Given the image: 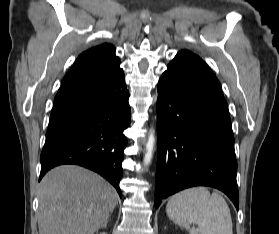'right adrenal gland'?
Instances as JSON below:
<instances>
[{"instance_id": "obj_1", "label": "right adrenal gland", "mask_w": 279, "mask_h": 234, "mask_svg": "<svg viewBox=\"0 0 279 234\" xmlns=\"http://www.w3.org/2000/svg\"><path fill=\"white\" fill-rule=\"evenodd\" d=\"M107 226V222L104 224V227H106Z\"/></svg>"}]
</instances>
